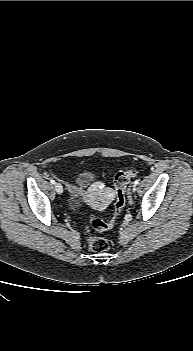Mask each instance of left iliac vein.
<instances>
[{
  "instance_id": "obj_1",
  "label": "left iliac vein",
  "mask_w": 193,
  "mask_h": 351,
  "mask_svg": "<svg viewBox=\"0 0 193 351\" xmlns=\"http://www.w3.org/2000/svg\"><path fill=\"white\" fill-rule=\"evenodd\" d=\"M136 189H137V188H136V185H133L132 190H133V191H136Z\"/></svg>"
}]
</instances>
